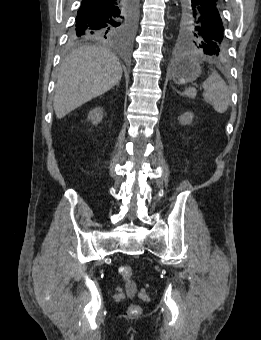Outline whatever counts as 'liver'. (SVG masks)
<instances>
[{"mask_svg":"<svg viewBox=\"0 0 261 340\" xmlns=\"http://www.w3.org/2000/svg\"><path fill=\"white\" fill-rule=\"evenodd\" d=\"M122 77L117 56L100 46H82L63 61L55 87L53 106L56 117L68 113L109 91Z\"/></svg>","mask_w":261,"mask_h":340,"instance_id":"liver-1","label":"liver"}]
</instances>
